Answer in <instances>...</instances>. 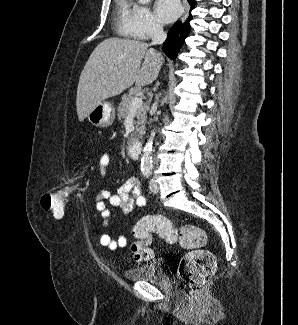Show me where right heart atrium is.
<instances>
[{
  "label": "right heart atrium",
  "instance_id": "right-heart-atrium-1",
  "mask_svg": "<svg viewBox=\"0 0 298 325\" xmlns=\"http://www.w3.org/2000/svg\"><path fill=\"white\" fill-rule=\"evenodd\" d=\"M133 23L127 31L131 41H152L151 30H161V26L146 4L133 7Z\"/></svg>",
  "mask_w": 298,
  "mask_h": 325
}]
</instances>
